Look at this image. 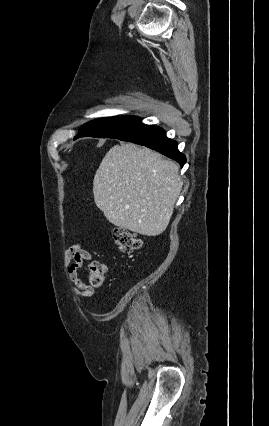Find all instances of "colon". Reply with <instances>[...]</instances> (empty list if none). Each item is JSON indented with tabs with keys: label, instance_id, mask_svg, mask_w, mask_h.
<instances>
[{
	"label": "colon",
	"instance_id": "1",
	"mask_svg": "<svg viewBox=\"0 0 269 426\" xmlns=\"http://www.w3.org/2000/svg\"><path fill=\"white\" fill-rule=\"evenodd\" d=\"M112 237L117 247L126 253L133 252L141 246V241L137 235L122 227H115L112 230ZM106 273L107 266L105 264L93 261L89 266L87 277L92 286L100 287L104 282Z\"/></svg>",
	"mask_w": 269,
	"mask_h": 426
}]
</instances>
